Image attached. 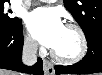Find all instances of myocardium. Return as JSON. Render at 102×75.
<instances>
[{
    "instance_id": "obj_1",
    "label": "myocardium",
    "mask_w": 102,
    "mask_h": 75,
    "mask_svg": "<svg viewBox=\"0 0 102 75\" xmlns=\"http://www.w3.org/2000/svg\"><path fill=\"white\" fill-rule=\"evenodd\" d=\"M64 26L74 30L77 33V35L80 39V50L73 57H63V56L57 54L52 49L51 50V55L58 62H61V63H64V64H73V63H76V62L80 61L86 55L87 50H88V40H87V37H86V34H85L84 30L78 24L69 21V22H66Z\"/></svg>"
}]
</instances>
